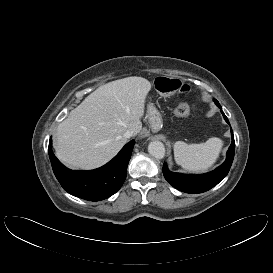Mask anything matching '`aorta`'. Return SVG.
I'll return each mask as SVG.
<instances>
[{"instance_id":"obj_1","label":"aorta","mask_w":273,"mask_h":273,"mask_svg":"<svg viewBox=\"0 0 273 273\" xmlns=\"http://www.w3.org/2000/svg\"><path fill=\"white\" fill-rule=\"evenodd\" d=\"M148 152L156 159H162L165 156V146L160 141H152L148 145Z\"/></svg>"}]
</instances>
